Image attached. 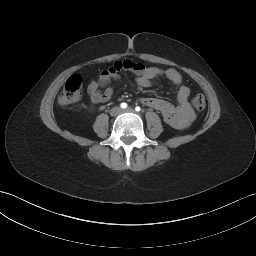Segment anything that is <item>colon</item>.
I'll list each match as a JSON object with an SVG mask.
<instances>
[{
	"label": "colon",
	"instance_id": "5ec220e1",
	"mask_svg": "<svg viewBox=\"0 0 256 256\" xmlns=\"http://www.w3.org/2000/svg\"><path fill=\"white\" fill-rule=\"evenodd\" d=\"M82 95V78L75 74L70 76L60 93L59 103L61 105H69L77 102ZM192 104L195 109L203 110L206 106V98L203 94H195L192 98Z\"/></svg>",
	"mask_w": 256,
	"mask_h": 256
}]
</instances>
